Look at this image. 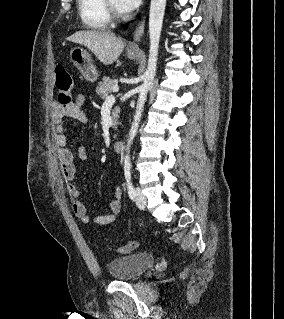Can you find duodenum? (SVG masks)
Masks as SVG:
<instances>
[{
    "instance_id": "obj_1",
    "label": "duodenum",
    "mask_w": 284,
    "mask_h": 319,
    "mask_svg": "<svg viewBox=\"0 0 284 319\" xmlns=\"http://www.w3.org/2000/svg\"><path fill=\"white\" fill-rule=\"evenodd\" d=\"M123 147H124V143L122 140H117L113 143V148L116 152L122 151Z\"/></svg>"
}]
</instances>
